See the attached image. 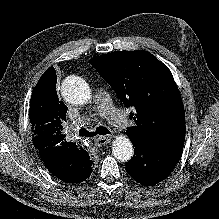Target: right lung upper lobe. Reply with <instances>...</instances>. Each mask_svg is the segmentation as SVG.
Returning a JSON list of instances; mask_svg holds the SVG:
<instances>
[{"label":"right lung upper lobe","mask_w":219,"mask_h":219,"mask_svg":"<svg viewBox=\"0 0 219 219\" xmlns=\"http://www.w3.org/2000/svg\"><path fill=\"white\" fill-rule=\"evenodd\" d=\"M56 72L48 68L34 87L29 110L34 147L47 169L64 181H70L75 172L71 166L74 161L67 158L70 149H76L90 159L88 153L76 144L65 141L62 124L66 121L67 106L59 100L56 92Z\"/></svg>","instance_id":"obj_1"}]
</instances>
